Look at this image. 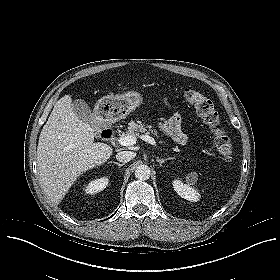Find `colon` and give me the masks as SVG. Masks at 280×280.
Here are the masks:
<instances>
[{
  "label": "colon",
  "instance_id": "5ec220e1",
  "mask_svg": "<svg viewBox=\"0 0 280 280\" xmlns=\"http://www.w3.org/2000/svg\"><path fill=\"white\" fill-rule=\"evenodd\" d=\"M183 98L188 104L194 106L198 116L211 129L220 157L230 162L233 159V147L225 128L221 126L219 113L213 102L192 88H186L183 91Z\"/></svg>",
  "mask_w": 280,
  "mask_h": 280
}]
</instances>
